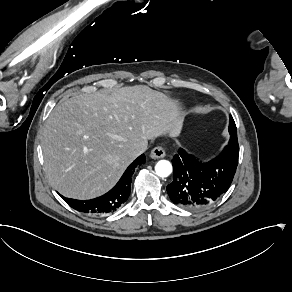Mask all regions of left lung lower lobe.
I'll use <instances>...</instances> for the list:
<instances>
[{
  "mask_svg": "<svg viewBox=\"0 0 292 292\" xmlns=\"http://www.w3.org/2000/svg\"><path fill=\"white\" fill-rule=\"evenodd\" d=\"M238 156L239 146L228 144L216 158L202 162L180 148L172 159L173 181L167 185L171 201L189 210L214 204L229 189Z\"/></svg>",
  "mask_w": 292,
  "mask_h": 292,
  "instance_id": "1",
  "label": "left lung lower lobe"
}]
</instances>
